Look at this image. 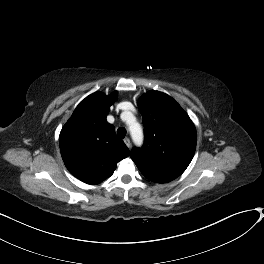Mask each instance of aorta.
<instances>
[{"label": "aorta", "instance_id": "1", "mask_svg": "<svg viewBox=\"0 0 264 264\" xmlns=\"http://www.w3.org/2000/svg\"><path fill=\"white\" fill-rule=\"evenodd\" d=\"M130 118L134 119L133 115H131ZM129 130L134 143L141 144L143 141V131L141 126L137 122H134L130 124Z\"/></svg>", "mask_w": 264, "mask_h": 264}]
</instances>
